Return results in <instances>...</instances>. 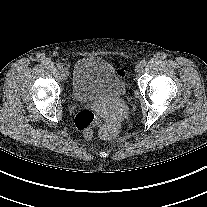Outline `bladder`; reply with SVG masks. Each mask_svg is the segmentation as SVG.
Listing matches in <instances>:
<instances>
[{
	"label": "bladder",
	"instance_id": "bladder-1",
	"mask_svg": "<svg viewBox=\"0 0 207 207\" xmlns=\"http://www.w3.org/2000/svg\"><path fill=\"white\" fill-rule=\"evenodd\" d=\"M71 95L78 102L122 99L127 95V85L110 63L88 56L81 58L74 67Z\"/></svg>",
	"mask_w": 207,
	"mask_h": 207
}]
</instances>
